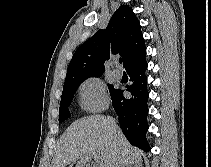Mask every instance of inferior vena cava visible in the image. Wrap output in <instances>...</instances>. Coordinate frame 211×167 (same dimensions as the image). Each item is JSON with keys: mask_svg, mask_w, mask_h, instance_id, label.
Returning <instances> with one entry per match:
<instances>
[{"mask_svg": "<svg viewBox=\"0 0 211 167\" xmlns=\"http://www.w3.org/2000/svg\"><path fill=\"white\" fill-rule=\"evenodd\" d=\"M115 126H116V123H115V120L113 119L112 120L113 129H115ZM113 167H121L120 161L118 160V161L114 162Z\"/></svg>", "mask_w": 211, "mask_h": 167, "instance_id": "1", "label": "inferior vena cava"}]
</instances>
